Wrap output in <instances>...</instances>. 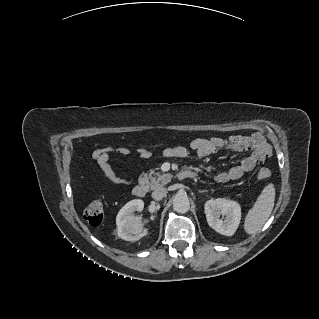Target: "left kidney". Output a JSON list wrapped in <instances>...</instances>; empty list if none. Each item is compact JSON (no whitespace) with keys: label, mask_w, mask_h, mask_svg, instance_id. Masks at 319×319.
<instances>
[{"label":"left kidney","mask_w":319,"mask_h":319,"mask_svg":"<svg viewBox=\"0 0 319 319\" xmlns=\"http://www.w3.org/2000/svg\"><path fill=\"white\" fill-rule=\"evenodd\" d=\"M208 225L225 236H232L241 220V207L233 200L217 198L208 200L205 205Z\"/></svg>","instance_id":"obj_1"}]
</instances>
